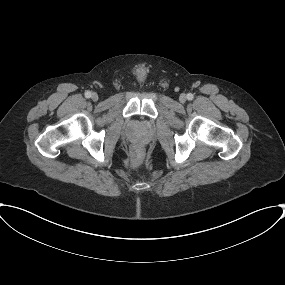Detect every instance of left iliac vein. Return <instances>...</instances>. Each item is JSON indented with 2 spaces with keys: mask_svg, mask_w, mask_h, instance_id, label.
<instances>
[{
  "mask_svg": "<svg viewBox=\"0 0 285 285\" xmlns=\"http://www.w3.org/2000/svg\"><path fill=\"white\" fill-rule=\"evenodd\" d=\"M186 95L185 94H181L180 96H179V101L181 102V103H184L185 101H186Z\"/></svg>",
  "mask_w": 285,
  "mask_h": 285,
  "instance_id": "obj_1",
  "label": "left iliac vein"
}]
</instances>
